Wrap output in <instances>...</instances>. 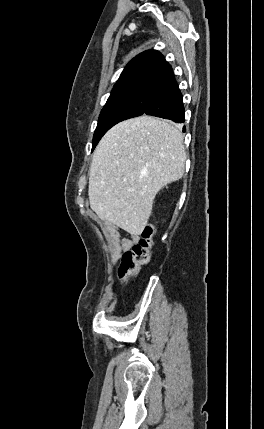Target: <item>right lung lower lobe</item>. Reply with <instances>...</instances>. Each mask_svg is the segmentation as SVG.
<instances>
[{"instance_id":"98d812e1","label":"right lung lower lobe","mask_w":264,"mask_h":429,"mask_svg":"<svg viewBox=\"0 0 264 429\" xmlns=\"http://www.w3.org/2000/svg\"><path fill=\"white\" fill-rule=\"evenodd\" d=\"M184 112L182 94L173 77L161 88L144 114L183 123L185 121ZM183 131L185 132V127Z\"/></svg>"}]
</instances>
